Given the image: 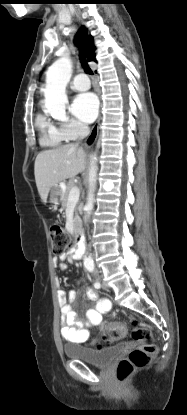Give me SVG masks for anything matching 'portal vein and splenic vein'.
<instances>
[{
  "instance_id": "portal-vein-and-splenic-vein-1",
  "label": "portal vein and splenic vein",
  "mask_w": 187,
  "mask_h": 415,
  "mask_svg": "<svg viewBox=\"0 0 187 415\" xmlns=\"http://www.w3.org/2000/svg\"><path fill=\"white\" fill-rule=\"evenodd\" d=\"M80 196V189L77 186H74L70 191L68 203L69 204H76L79 200Z\"/></svg>"
}]
</instances>
